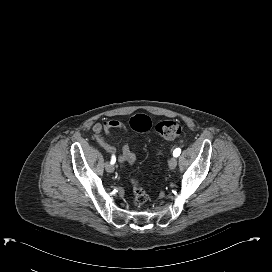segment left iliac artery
Listing matches in <instances>:
<instances>
[{"label":"left iliac artery","mask_w":272,"mask_h":272,"mask_svg":"<svg viewBox=\"0 0 272 272\" xmlns=\"http://www.w3.org/2000/svg\"><path fill=\"white\" fill-rule=\"evenodd\" d=\"M181 153V150L179 148H176L174 151H173V156L174 157H178Z\"/></svg>","instance_id":"1"}]
</instances>
